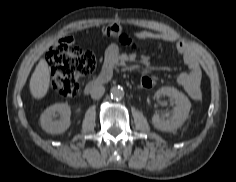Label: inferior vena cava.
I'll list each match as a JSON object with an SVG mask.
<instances>
[{
	"instance_id": "1",
	"label": "inferior vena cava",
	"mask_w": 236,
	"mask_h": 182,
	"mask_svg": "<svg viewBox=\"0 0 236 182\" xmlns=\"http://www.w3.org/2000/svg\"><path fill=\"white\" fill-rule=\"evenodd\" d=\"M104 92H105V88L103 85H100V84L95 85L91 90V97L93 99H99L103 96Z\"/></svg>"
}]
</instances>
